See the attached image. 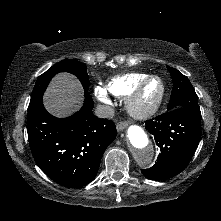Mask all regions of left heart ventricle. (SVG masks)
Wrapping results in <instances>:
<instances>
[{"mask_svg": "<svg viewBox=\"0 0 221 221\" xmlns=\"http://www.w3.org/2000/svg\"><path fill=\"white\" fill-rule=\"evenodd\" d=\"M161 91V84L157 79H153L145 86L140 102L143 106L152 104L159 96Z\"/></svg>", "mask_w": 221, "mask_h": 221, "instance_id": "1", "label": "left heart ventricle"}]
</instances>
